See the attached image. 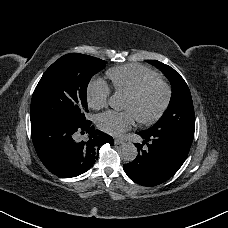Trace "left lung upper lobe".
Instances as JSON below:
<instances>
[{
  "mask_svg": "<svg viewBox=\"0 0 228 228\" xmlns=\"http://www.w3.org/2000/svg\"><path fill=\"white\" fill-rule=\"evenodd\" d=\"M147 62L161 69L172 86V96L168 108L156 124L149 129L194 135L195 114L193 102L184 79L168 65L157 60H148Z\"/></svg>",
  "mask_w": 228,
  "mask_h": 228,
  "instance_id": "left-lung-upper-lobe-1",
  "label": "left lung upper lobe"
}]
</instances>
